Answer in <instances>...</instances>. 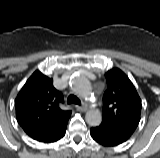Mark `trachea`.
Returning <instances> with one entry per match:
<instances>
[{"label": "trachea", "mask_w": 160, "mask_h": 158, "mask_svg": "<svg viewBox=\"0 0 160 158\" xmlns=\"http://www.w3.org/2000/svg\"><path fill=\"white\" fill-rule=\"evenodd\" d=\"M67 103L68 104L74 103L77 105L81 104L79 98H77L75 95H72V94L68 96Z\"/></svg>", "instance_id": "obj_1"}]
</instances>
